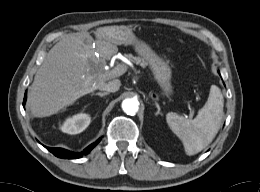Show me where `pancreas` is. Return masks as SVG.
<instances>
[{"mask_svg":"<svg viewBox=\"0 0 260 192\" xmlns=\"http://www.w3.org/2000/svg\"><path fill=\"white\" fill-rule=\"evenodd\" d=\"M127 58L129 60H131L132 62L136 63V64H140L142 67H145V62L141 60V58L139 57H134L133 55L129 54L127 55Z\"/></svg>","mask_w":260,"mask_h":192,"instance_id":"cf45deb5","label":"pancreas"}]
</instances>
